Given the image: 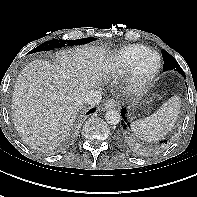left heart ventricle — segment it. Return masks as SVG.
I'll return each mask as SVG.
<instances>
[{"label": "left heart ventricle", "instance_id": "obj_1", "mask_svg": "<svg viewBox=\"0 0 197 197\" xmlns=\"http://www.w3.org/2000/svg\"><path fill=\"white\" fill-rule=\"evenodd\" d=\"M156 66H157V57L150 56L142 62L140 66V72L143 74H148L152 72L156 68Z\"/></svg>", "mask_w": 197, "mask_h": 197}]
</instances>
